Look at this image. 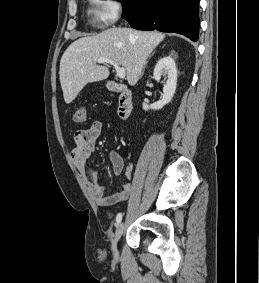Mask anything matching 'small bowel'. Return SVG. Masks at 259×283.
<instances>
[{
    "instance_id": "1",
    "label": "small bowel",
    "mask_w": 259,
    "mask_h": 283,
    "mask_svg": "<svg viewBox=\"0 0 259 283\" xmlns=\"http://www.w3.org/2000/svg\"><path fill=\"white\" fill-rule=\"evenodd\" d=\"M102 134V122L93 121L90 126L79 129L74 134V147L70 155L78 171L89 181V188L98 206L108 207L124 201L132 191V184L129 182L133 177V169L127 166L124 170V161L117 151L108 153L115 175L123 173L124 181L120 191L113 195H106L105 187L97 182L96 173L88 166L89 158L96 151V141Z\"/></svg>"
}]
</instances>
